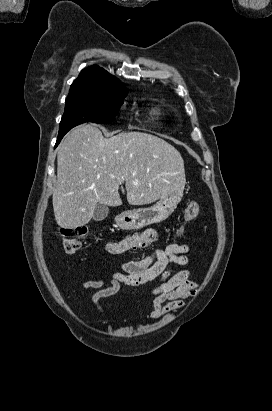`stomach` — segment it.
Returning a JSON list of instances; mask_svg holds the SVG:
<instances>
[{
    "label": "stomach",
    "instance_id": "obj_1",
    "mask_svg": "<svg viewBox=\"0 0 272 411\" xmlns=\"http://www.w3.org/2000/svg\"><path fill=\"white\" fill-rule=\"evenodd\" d=\"M183 190L175 189L151 207L128 210L117 215L116 224L123 230H137L166 220L181 201Z\"/></svg>",
    "mask_w": 272,
    "mask_h": 411
}]
</instances>
